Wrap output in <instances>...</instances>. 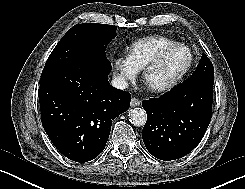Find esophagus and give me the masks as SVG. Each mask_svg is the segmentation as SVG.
<instances>
[{"mask_svg":"<svg viewBox=\"0 0 245 189\" xmlns=\"http://www.w3.org/2000/svg\"><path fill=\"white\" fill-rule=\"evenodd\" d=\"M131 107H138L141 105V101L135 97H133L131 99V103H130Z\"/></svg>","mask_w":245,"mask_h":189,"instance_id":"1","label":"esophagus"}]
</instances>
